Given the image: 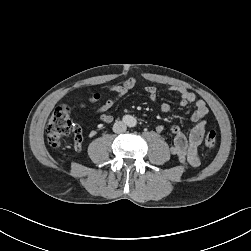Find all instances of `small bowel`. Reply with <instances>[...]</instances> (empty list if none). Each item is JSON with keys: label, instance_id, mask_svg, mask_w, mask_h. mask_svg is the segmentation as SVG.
<instances>
[{"label": "small bowel", "instance_id": "small-bowel-1", "mask_svg": "<svg viewBox=\"0 0 251 251\" xmlns=\"http://www.w3.org/2000/svg\"><path fill=\"white\" fill-rule=\"evenodd\" d=\"M136 79L127 78L120 84L106 85L104 89L109 92H113L115 95L113 98L108 99L102 105L94 110V113L99 117L102 123H111L113 116L109 113V110L126 94L135 87ZM145 93L151 101H156L158 97V89L155 86L145 87ZM170 92L177 93L180 96V105L182 107L187 106L190 103L195 104V110L192 113L191 120L194 123V127L191 129L188 137L181 133L179 128L172 127L171 131L175 135L173 145L171 146V154L175 156L181 163L188 164L193 167H197L201 163L200 156L198 154V146L203 140L206 127V117L208 115V108L205 101L197 99L196 95L184 87H170ZM85 109L84 104L80 105ZM162 113L168 114L171 112V106L168 103H162L160 106ZM156 131L161 133L164 131L162 125L156 127ZM77 149L81 148V144L76 145Z\"/></svg>", "mask_w": 251, "mask_h": 251}]
</instances>
